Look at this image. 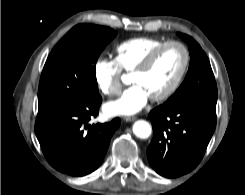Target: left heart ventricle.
<instances>
[{
	"mask_svg": "<svg viewBox=\"0 0 245 195\" xmlns=\"http://www.w3.org/2000/svg\"><path fill=\"white\" fill-rule=\"evenodd\" d=\"M183 63V51L178 46L164 49L156 57L150 68L131 76L134 84H140L150 97L166 90L177 77Z\"/></svg>",
	"mask_w": 245,
	"mask_h": 195,
	"instance_id": "obj_1",
	"label": "left heart ventricle"
}]
</instances>
